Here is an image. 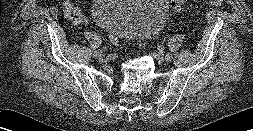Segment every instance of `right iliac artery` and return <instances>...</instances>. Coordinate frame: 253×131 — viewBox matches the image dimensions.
Masks as SVG:
<instances>
[{"instance_id": "obj_1", "label": "right iliac artery", "mask_w": 253, "mask_h": 131, "mask_svg": "<svg viewBox=\"0 0 253 131\" xmlns=\"http://www.w3.org/2000/svg\"><path fill=\"white\" fill-rule=\"evenodd\" d=\"M91 53H92L93 55L99 56V55L101 54V51H100L99 49H97L96 47H93V48L91 49Z\"/></svg>"}]
</instances>
